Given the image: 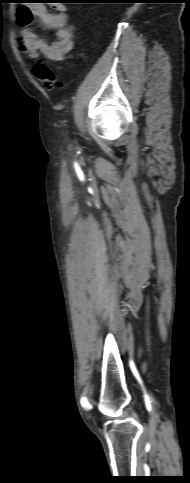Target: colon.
I'll return each instance as SVG.
<instances>
[{
    "mask_svg": "<svg viewBox=\"0 0 190 483\" xmlns=\"http://www.w3.org/2000/svg\"><path fill=\"white\" fill-rule=\"evenodd\" d=\"M32 72L49 90H60L63 87L62 81L42 62L36 63Z\"/></svg>",
    "mask_w": 190,
    "mask_h": 483,
    "instance_id": "obj_1",
    "label": "colon"
}]
</instances>
